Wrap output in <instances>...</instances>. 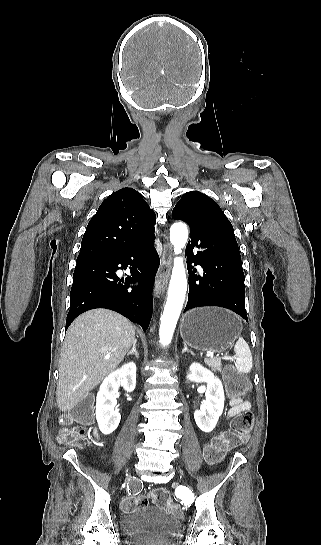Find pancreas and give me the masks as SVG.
<instances>
[{
    "label": "pancreas",
    "instance_id": "obj_1",
    "mask_svg": "<svg viewBox=\"0 0 321 545\" xmlns=\"http://www.w3.org/2000/svg\"><path fill=\"white\" fill-rule=\"evenodd\" d=\"M204 363L216 373V371H222L221 359H205Z\"/></svg>",
    "mask_w": 321,
    "mask_h": 545
}]
</instances>
